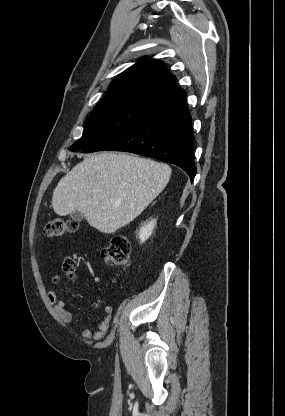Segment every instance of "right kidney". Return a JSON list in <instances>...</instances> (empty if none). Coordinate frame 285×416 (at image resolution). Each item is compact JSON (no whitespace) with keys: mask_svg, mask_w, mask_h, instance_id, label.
Returning <instances> with one entry per match:
<instances>
[{"mask_svg":"<svg viewBox=\"0 0 285 416\" xmlns=\"http://www.w3.org/2000/svg\"><path fill=\"white\" fill-rule=\"evenodd\" d=\"M156 224V220H150V222H146V224H143L142 228L139 230V240L141 244L143 242H146L148 240L149 236H151L154 226Z\"/></svg>","mask_w":285,"mask_h":416,"instance_id":"right-kidney-1","label":"right kidney"}]
</instances>
